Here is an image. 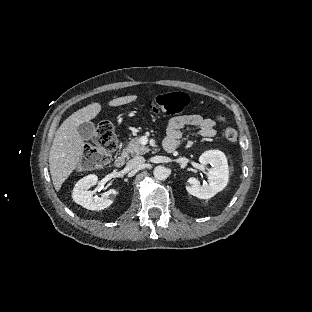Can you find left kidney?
Returning a JSON list of instances; mask_svg holds the SVG:
<instances>
[{
  "label": "left kidney",
  "instance_id": "1",
  "mask_svg": "<svg viewBox=\"0 0 312 312\" xmlns=\"http://www.w3.org/2000/svg\"><path fill=\"white\" fill-rule=\"evenodd\" d=\"M199 161L202 165L211 164L212 168L207 173L208 182L202 185L196 178H189L186 190L189 194L200 199H209L223 190L229 179L228 163L225 154L219 150L205 151Z\"/></svg>",
  "mask_w": 312,
  "mask_h": 312
}]
</instances>
